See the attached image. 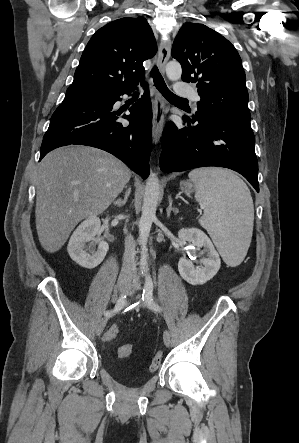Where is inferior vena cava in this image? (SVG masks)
Wrapping results in <instances>:
<instances>
[{"label":"inferior vena cava","mask_w":299,"mask_h":443,"mask_svg":"<svg viewBox=\"0 0 299 443\" xmlns=\"http://www.w3.org/2000/svg\"><path fill=\"white\" fill-rule=\"evenodd\" d=\"M135 241L131 235L125 238V252L120 276L132 275L135 271Z\"/></svg>","instance_id":"1"}]
</instances>
